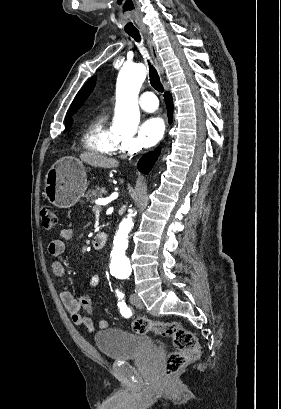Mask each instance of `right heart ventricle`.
Listing matches in <instances>:
<instances>
[{
  "instance_id": "1",
  "label": "right heart ventricle",
  "mask_w": 281,
  "mask_h": 409,
  "mask_svg": "<svg viewBox=\"0 0 281 409\" xmlns=\"http://www.w3.org/2000/svg\"><path fill=\"white\" fill-rule=\"evenodd\" d=\"M87 138L90 151L99 157L111 156L118 150H130L108 124L104 115H99L91 121Z\"/></svg>"
}]
</instances>
